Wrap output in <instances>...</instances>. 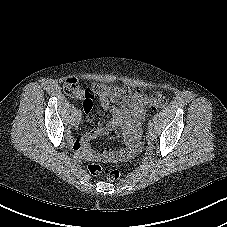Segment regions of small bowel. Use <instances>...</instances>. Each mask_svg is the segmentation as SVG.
Instances as JSON below:
<instances>
[{"label":"small bowel","mask_w":227,"mask_h":227,"mask_svg":"<svg viewBox=\"0 0 227 227\" xmlns=\"http://www.w3.org/2000/svg\"><path fill=\"white\" fill-rule=\"evenodd\" d=\"M78 101H83V109L86 113L92 110L93 102L87 100L84 91L75 96ZM100 105L112 115V119L103 125L99 123L95 128L89 130L82 138L72 139L71 145L87 160L119 161L133 157L139 150V138L141 125L145 117L144 99L140 92L136 93L123 106H116L107 97H100ZM116 132L122 135L127 146L119 151L104 150L102 153L93 152L90 149L91 140L100 135Z\"/></svg>","instance_id":"obj_1"}]
</instances>
